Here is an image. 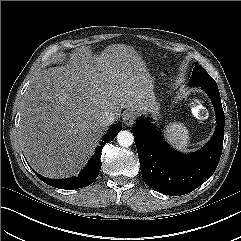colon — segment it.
Here are the masks:
<instances>
[{
  "label": "colon",
  "mask_w": 241,
  "mask_h": 241,
  "mask_svg": "<svg viewBox=\"0 0 241 241\" xmlns=\"http://www.w3.org/2000/svg\"><path fill=\"white\" fill-rule=\"evenodd\" d=\"M192 106L197 109L199 117L204 118L206 116V110L202 107L199 101L195 100L192 103Z\"/></svg>",
  "instance_id": "5ec220e1"
}]
</instances>
